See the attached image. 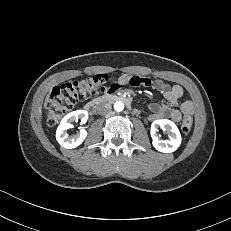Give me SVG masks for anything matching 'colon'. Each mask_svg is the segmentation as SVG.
<instances>
[{
	"label": "colon",
	"mask_w": 231,
	"mask_h": 231,
	"mask_svg": "<svg viewBox=\"0 0 231 231\" xmlns=\"http://www.w3.org/2000/svg\"><path fill=\"white\" fill-rule=\"evenodd\" d=\"M112 81L110 75L99 74L69 81L55 87L46 103L48 125H57L62 117L79 102L103 94V88L109 87ZM192 123V116L185 115L181 122L182 131L188 132Z\"/></svg>",
	"instance_id": "colon-1"
}]
</instances>
